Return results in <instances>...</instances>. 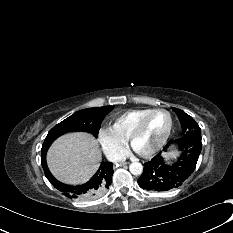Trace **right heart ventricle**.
<instances>
[{
	"instance_id": "obj_1",
	"label": "right heart ventricle",
	"mask_w": 233,
	"mask_h": 233,
	"mask_svg": "<svg viewBox=\"0 0 233 233\" xmlns=\"http://www.w3.org/2000/svg\"><path fill=\"white\" fill-rule=\"evenodd\" d=\"M150 110L151 109L149 108L130 109L117 116L112 121L108 131L116 139L126 144L128 142V137L136 123Z\"/></svg>"
}]
</instances>
